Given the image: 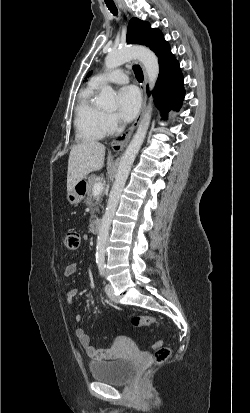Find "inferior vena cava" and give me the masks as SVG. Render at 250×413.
I'll list each match as a JSON object with an SVG mask.
<instances>
[{
	"mask_svg": "<svg viewBox=\"0 0 250 413\" xmlns=\"http://www.w3.org/2000/svg\"><path fill=\"white\" fill-rule=\"evenodd\" d=\"M123 131V127L118 128L117 132L121 133Z\"/></svg>",
	"mask_w": 250,
	"mask_h": 413,
	"instance_id": "inferior-vena-cava-1",
	"label": "inferior vena cava"
}]
</instances>
